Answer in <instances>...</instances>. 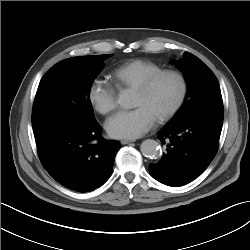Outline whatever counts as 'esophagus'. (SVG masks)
Masks as SVG:
<instances>
[{
    "instance_id": "obj_1",
    "label": "esophagus",
    "mask_w": 250,
    "mask_h": 250,
    "mask_svg": "<svg viewBox=\"0 0 250 250\" xmlns=\"http://www.w3.org/2000/svg\"><path fill=\"white\" fill-rule=\"evenodd\" d=\"M132 142H135V140H132V139H122L121 140V144H123V145L129 144V143H132Z\"/></svg>"
}]
</instances>
